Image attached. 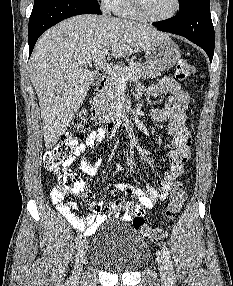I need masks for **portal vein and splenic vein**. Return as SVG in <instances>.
<instances>
[{
	"label": "portal vein and splenic vein",
	"instance_id": "18ae733b",
	"mask_svg": "<svg viewBox=\"0 0 233 286\" xmlns=\"http://www.w3.org/2000/svg\"><path fill=\"white\" fill-rule=\"evenodd\" d=\"M108 52H109L108 47H105L100 52L99 56L93 60V62L97 66L102 68L108 75H111L112 77L117 78V81L119 83H124L128 81L129 79L133 78V74L131 72L126 75H120L118 74L117 69H115L109 63L104 61L105 56L108 54ZM89 65H91V63H89Z\"/></svg>",
	"mask_w": 233,
	"mask_h": 286
}]
</instances>
